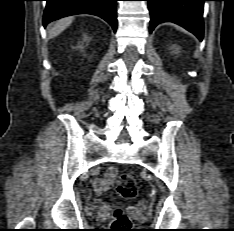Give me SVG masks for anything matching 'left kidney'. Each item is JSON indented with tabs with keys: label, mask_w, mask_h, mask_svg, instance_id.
Masks as SVG:
<instances>
[{
	"label": "left kidney",
	"mask_w": 234,
	"mask_h": 231,
	"mask_svg": "<svg viewBox=\"0 0 234 231\" xmlns=\"http://www.w3.org/2000/svg\"><path fill=\"white\" fill-rule=\"evenodd\" d=\"M179 48H180V47H178L177 45H173V46L171 47V49H173V53H175V54L179 53Z\"/></svg>",
	"instance_id": "obj_1"
}]
</instances>
